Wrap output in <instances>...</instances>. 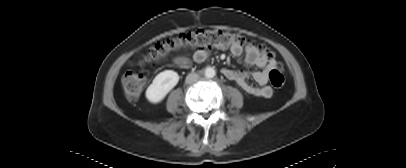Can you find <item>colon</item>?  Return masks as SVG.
Masks as SVG:
<instances>
[{"instance_id":"5ec220e1","label":"colon","mask_w":406,"mask_h":168,"mask_svg":"<svg viewBox=\"0 0 406 168\" xmlns=\"http://www.w3.org/2000/svg\"><path fill=\"white\" fill-rule=\"evenodd\" d=\"M244 46L256 47L267 59L273 58V53L269 48L263 44H255L243 35L218 29H199L157 42L145 54L143 62L145 64H153L166 59L173 53L187 49H241ZM268 78L275 88H281L284 85L285 78L280 64H277L269 72ZM121 82L126 97L130 101H136L143 91L146 80L142 74L127 70Z\"/></svg>"}]
</instances>
